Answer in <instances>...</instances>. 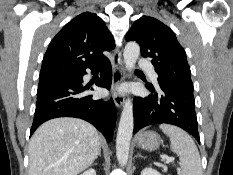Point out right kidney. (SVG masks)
I'll list each match as a JSON object with an SVG mask.
<instances>
[{
	"label": "right kidney",
	"instance_id": "obj_1",
	"mask_svg": "<svg viewBox=\"0 0 233 175\" xmlns=\"http://www.w3.org/2000/svg\"><path fill=\"white\" fill-rule=\"evenodd\" d=\"M81 175H96V171L94 169H89L87 171H85L83 174Z\"/></svg>",
	"mask_w": 233,
	"mask_h": 175
}]
</instances>
